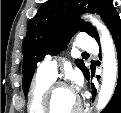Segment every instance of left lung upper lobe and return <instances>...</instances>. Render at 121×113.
Here are the masks:
<instances>
[{
  "instance_id": "left-lung-upper-lobe-1",
  "label": "left lung upper lobe",
  "mask_w": 121,
  "mask_h": 113,
  "mask_svg": "<svg viewBox=\"0 0 121 113\" xmlns=\"http://www.w3.org/2000/svg\"><path fill=\"white\" fill-rule=\"evenodd\" d=\"M85 12L99 14L109 30L118 17L112 0H48L40 6L35 17L29 20L23 41L22 86L25 95L29 91L37 63L47 54H58L78 30L99 41L96 29L90 23L76 18L77 14ZM75 63L88 79L89 70L83 61L77 59Z\"/></svg>"
}]
</instances>
